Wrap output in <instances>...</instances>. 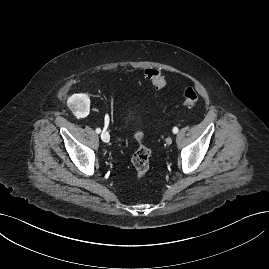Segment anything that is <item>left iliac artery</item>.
Segmentation results:
<instances>
[{"instance_id": "obj_1", "label": "left iliac artery", "mask_w": 269, "mask_h": 269, "mask_svg": "<svg viewBox=\"0 0 269 269\" xmlns=\"http://www.w3.org/2000/svg\"><path fill=\"white\" fill-rule=\"evenodd\" d=\"M173 133H174V134L178 133V128H177V127H174V128H173Z\"/></svg>"}]
</instances>
